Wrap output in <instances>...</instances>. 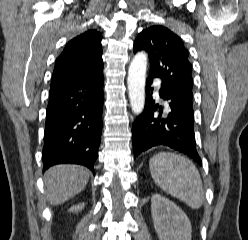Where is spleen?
I'll return each mask as SVG.
<instances>
[{
    "instance_id": "3e777b00",
    "label": "spleen",
    "mask_w": 248,
    "mask_h": 240,
    "mask_svg": "<svg viewBox=\"0 0 248 240\" xmlns=\"http://www.w3.org/2000/svg\"><path fill=\"white\" fill-rule=\"evenodd\" d=\"M149 167L153 180L163 191L193 209L202 206V180L196 166L188 158L161 152L150 159Z\"/></svg>"
}]
</instances>
